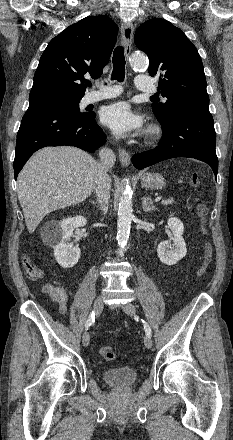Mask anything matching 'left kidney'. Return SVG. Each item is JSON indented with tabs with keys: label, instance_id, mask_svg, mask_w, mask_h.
<instances>
[{
	"label": "left kidney",
	"instance_id": "5707ae66",
	"mask_svg": "<svg viewBox=\"0 0 233 440\" xmlns=\"http://www.w3.org/2000/svg\"><path fill=\"white\" fill-rule=\"evenodd\" d=\"M167 223L174 237L172 240L160 242L157 247V253L163 264L171 266L186 256L187 248L182 236L184 232L183 223L175 217L169 218Z\"/></svg>",
	"mask_w": 233,
	"mask_h": 440
}]
</instances>
